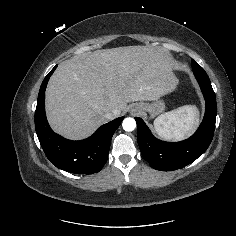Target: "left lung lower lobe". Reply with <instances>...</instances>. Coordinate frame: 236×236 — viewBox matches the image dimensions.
<instances>
[{"mask_svg":"<svg viewBox=\"0 0 236 236\" xmlns=\"http://www.w3.org/2000/svg\"><path fill=\"white\" fill-rule=\"evenodd\" d=\"M206 101V110L198 130L180 142H165L155 138L144 121L135 117L138 127L137 140L144 159L161 171L180 169L198 157L209 147L215 129L216 96L206 72H194Z\"/></svg>","mask_w":236,"mask_h":236,"instance_id":"0a47b994","label":"left lung lower lobe"}]
</instances>
